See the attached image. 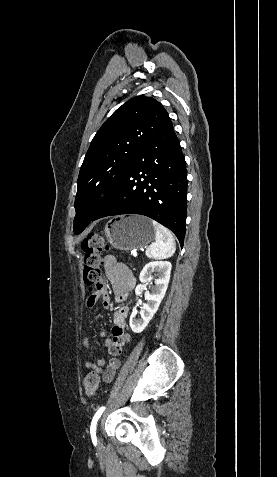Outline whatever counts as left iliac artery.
Segmentation results:
<instances>
[{
  "instance_id": "44dca946",
  "label": "left iliac artery",
  "mask_w": 277,
  "mask_h": 477,
  "mask_svg": "<svg viewBox=\"0 0 277 477\" xmlns=\"http://www.w3.org/2000/svg\"><path fill=\"white\" fill-rule=\"evenodd\" d=\"M105 410V407H101L94 415L92 422H91V433L95 434L96 431V424L100 416L102 415L103 411Z\"/></svg>"
}]
</instances>
